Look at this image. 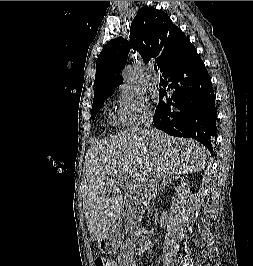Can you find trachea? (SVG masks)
Instances as JSON below:
<instances>
[{"label":"trachea","instance_id":"obj_1","mask_svg":"<svg viewBox=\"0 0 253 266\" xmlns=\"http://www.w3.org/2000/svg\"><path fill=\"white\" fill-rule=\"evenodd\" d=\"M154 70L157 72L158 71V69H157V66L156 65H154Z\"/></svg>","mask_w":253,"mask_h":266}]
</instances>
